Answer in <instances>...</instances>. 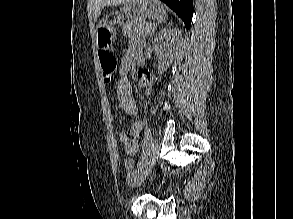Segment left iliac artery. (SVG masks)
Segmentation results:
<instances>
[{
	"mask_svg": "<svg viewBox=\"0 0 293 219\" xmlns=\"http://www.w3.org/2000/svg\"><path fill=\"white\" fill-rule=\"evenodd\" d=\"M145 122H146L145 140H144V144H143V154H142L140 166H143L151 158L152 137H151L150 125L148 123V118L145 119Z\"/></svg>",
	"mask_w": 293,
	"mask_h": 219,
	"instance_id": "left-iliac-artery-1",
	"label": "left iliac artery"
}]
</instances>
